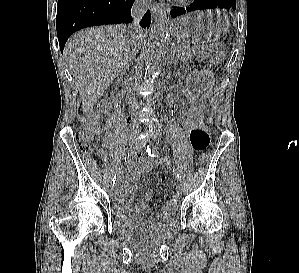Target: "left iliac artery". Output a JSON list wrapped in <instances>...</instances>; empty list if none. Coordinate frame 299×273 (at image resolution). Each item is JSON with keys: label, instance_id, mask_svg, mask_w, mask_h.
Masks as SVG:
<instances>
[{"label": "left iliac artery", "instance_id": "1", "mask_svg": "<svg viewBox=\"0 0 299 273\" xmlns=\"http://www.w3.org/2000/svg\"><path fill=\"white\" fill-rule=\"evenodd\" d=\"M146 152H147L148 155L151 156V157H154V156H156V154H157V152H156L155 150H153V149L151 150V148H150L149 146H147ZM172 171H173V174L175 175V177H176L177 179H180V175H179V173L177 172V170H176V169H173Z\"/></svg>", "mask_w": 299, "mask_h": 273}]
</instances>
